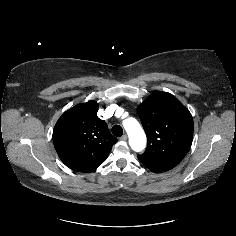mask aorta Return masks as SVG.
<instances>
[{
    "label": "aorta",
    "instance_id": "aorta-1",
    "mask_svg": "<svg viewBox=\"0 0 236 236\" xmlns=\"http://www.w3.org/2000/svg\"><path fill=\"white\" fill-rule=\"evenodd\" d=\"M123 126L129 137V145L135 152H141L146 147L147 139L139 122L129 117L123 121Z\"/></svg>",
    "mask_w": 236,
    "mask_h": 236
}]
</instances>
